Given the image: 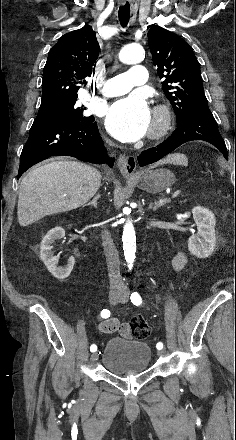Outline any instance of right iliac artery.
Instances as JSON below:
<instances>
[{
    "label": "right iliac artery",
    "mask_w": 236,
    "mask_h": 440,
    "mask_svg": "<svg viewBox=\"0 0 236 440\" xmlns=\"http://www.w3.org/2000/svg\"><path fill=\"white\" fill-rule=\"evenodd\" d=\"M101 317L102 318H108V317H110V311L109 310H107V309H103L102 311H101ZM97 350V346L96 345H91L90 346V351L91 352H95Z\"/></svg>",
    "instance_id": "1"
}]
</instances>
